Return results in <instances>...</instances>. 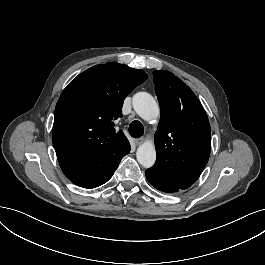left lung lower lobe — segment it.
<instances>
[{
	"mask_svg": "<svg viewBox=\"0 0 265 265\" xmlns=\"http://www.w3.org/2000/svg\"><path fill=\"white\" fill-rule=\"evenodd\" d=\"M146 178L150 182V184L156 189H158L159 191L166 192V193H175L181 190L176 185L154 174L149 169L146 170Z\"/></svg>",
	"mask_w": 265,
	"mask_h": 265,
	"instance_id": "0a47b994",
	"label": "left lung lower lobe"
}]
</instances>
